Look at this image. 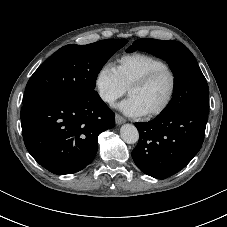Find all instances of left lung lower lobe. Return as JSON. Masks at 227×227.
Here are the masks:
<instances>
[{"label":"left lung lower lobe","instance_id":"0a47b994","mask_svg":"<svg viewBox=\"0 0 227 227\" xmlns=\"http://www.w3.org/2000/svg\"><path fill=\"white\" fill-rule=\"evenodd\" d=\"M208 115L182 110L135 123L139 141L132 151L137 167L157 179L183 169L201 149Z\"/></svg>","mask_w":227,"mask_h":227}]
</instances>
